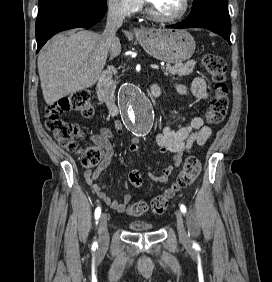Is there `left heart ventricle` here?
<instances>
[{"instance_id":"left-heart-ventricle-1","label":"left heart ventricle","mask_w":272,"mask_h":282,"mask_svg":"<svg viewBox=\"0 0 272 282\" xmlns=\"http://www.w3.org/2000/svg\"><path fill=\"white\" fill-rule=\"evenodd\" d=\"M151 7L167 16L178 14L183 9V0H147Z\"/></svg>"}]
</instances>
